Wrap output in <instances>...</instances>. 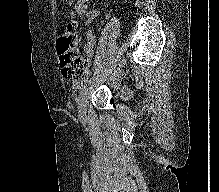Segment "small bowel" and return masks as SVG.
<instances>
[{
  "label": "small bowel",
  "mask_w": 219,
  "mask_h": 192,
  "mask_svg": "<svg viewBox=\"0 0 219 192\" xmlns=\"http://www.w3.org/2000/svg\"><path fill=\"white\" fill-rule=\"evenodd\" d=\"M90 0H77L72 15L84 17L83 25L88 27L99 15V10L97 8L88 9V4ZM86 43L84 45V55L89 60L94 54V44L96 43V36L93 28H89L86 33Z\"/></svg>",
  "instance_id": "c3829d8e"
}]
</instances>
